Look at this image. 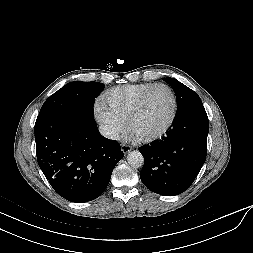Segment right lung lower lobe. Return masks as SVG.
I'll use <instances>...</instances> for the list:
<instances>
[{
	"instance_id": "right-lung-lower-lobe-1",
	"label": "right lung lower lobe",
	"mask_w": 253,
	"mask_h": 253,
	"mask_svg": "<svg viewBox=\"0 0 253 253\" xmlns=\"http://www.w3.org/2000/svg\"><path fill=\"white\" fill-rule=\"evenodd\" d=\"M35 141L38 164L53 189L77 203L99 197L124 156L119 143L100 135L93 117L76 113H39Z\"/></svg>"
}]
</instances>
